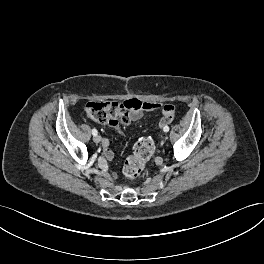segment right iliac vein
Masks as SVG:
<instances>
[{
	"label": "right iliac vein",
	"instance_id": "right-iliac-vein-1",
	"mask_svg": "<svg viewBox=\"0 0 264 264\" xmlns=\"http://www.w3.org/2000/svg\"><path fill=\"white\" fill-rule=\"evenodd\" d=\"M93 140H94L95 143H99L101 141V137L99 135H95L93 137Z\"/></svg>",
	"mask_w": 264,
	"mask_h": 264
}]
</instances>
